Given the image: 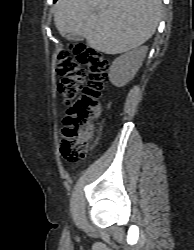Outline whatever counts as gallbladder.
I'll list each match as a JSON object with an SVG mask.
<instances>
[{
    "mask_svg": "<svg viewBox=\"0 0 194 250\" xmlns=\"http://www.w3.org/2000/svg\"><path fill=\"white\" fill-rule=\"evenodd\" d=\"M67 39L69 40H76V41H82L84 39V37L82 35L79 34H67Z\"/></svg>",
    "mask_w": 194,
    "mask_h": 250,
    "instance_id": "1",
    "label": "gallbladder"
}]
</instances>
